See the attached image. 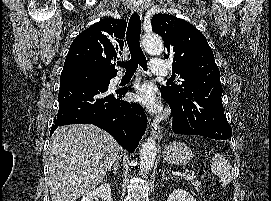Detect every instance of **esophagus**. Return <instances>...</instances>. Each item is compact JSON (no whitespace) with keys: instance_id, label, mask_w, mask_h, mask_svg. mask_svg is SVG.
Segmentation results:
<instances>
[{"instance_id":"obj_1","label":"esophagus","mask_w":271,"mask_h":201,"mask_svg":"<svg viewBox=\"0 0 271 201\" xmlns=\"http://www.w3.org/2000/svg\"><path fill=\"white\" fill-rule=\"evenodd\" d=\"M132 11L136 12L137 14L141 15L142 10L139 7L136 6H132ZM149 125H150V130H151V134L154 138L160 140L163 137V130L161 129V127L159 125H157L156 123L152 122L150 119H148Z\"/></svg>"}]
</instances>
